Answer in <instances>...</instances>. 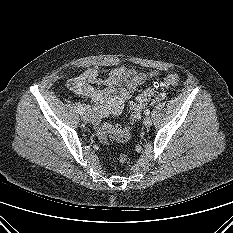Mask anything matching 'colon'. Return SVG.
<instances>
[{"instance_id":"1","label":"colon","mask_w":233,"mask_h":233,"mask_svg":"<svg viewBox=\"0 0 233 233\" xmlns=\"http://www.w3.org/2000/svg\"><path fill=\"white\" fill-rule=\"evenodd\" d=\"M179 76L169 74L162 80L155 82L152 87L142 91L131 105L129 124L126 127H117L109 123H103L97 128V137L103 144H108L110 139L120 142H126L131 138V125L140 119L142 110L150 103L158 101L162 98L160 90L174 87L179 83ZM121 164L126 163L125 155L119 156Z\"/></svg>"}]
</instances>
